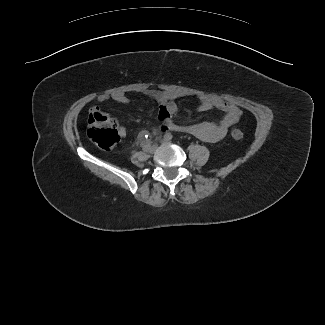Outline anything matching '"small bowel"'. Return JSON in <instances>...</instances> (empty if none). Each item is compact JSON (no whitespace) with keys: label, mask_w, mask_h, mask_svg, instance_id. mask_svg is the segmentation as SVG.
I'll return each instance as SVG.
<instances>
[{"label":"small bowel","mask_w":325,"mask_h":325,"mask_svg":"<svg viewBox=\"0 0 325 325\" xmlns=\"http://www.w3.org/2000/svg\"><path fill=\"white\" fill-rule=\"evenodd\" d=\"M144 95L159 105L158 119L163 124V130L188 133L206 142H217L221 140L227 134L228 130L239 120L241 115L240 109L234 104L212 96L198 95L196 97L199 101V111L205 112L211 109H218L224 113L223 118L217 123L205 121L194 124H180L174 119L178 110L177 100L190 97V94L180 91L147 89L144 91ZM97 101L99 103L116 101L129 104L131 99L122 91H112L100 94L97 97ZM93 111L101 112L98 106H93L90 112ZM119 133L122 137H125V128L120 127Z\"/></svg>","instance_id":"c3829d8e"}]
</instances>
